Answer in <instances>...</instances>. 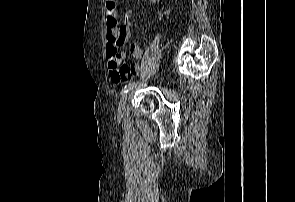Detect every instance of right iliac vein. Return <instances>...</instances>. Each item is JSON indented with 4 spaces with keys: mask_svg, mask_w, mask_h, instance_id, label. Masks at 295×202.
Wrapping results in <instances>:
<instances>
[{
    "mask_svg": "<svg viewBox=\"0 0 295 202\" xmlns=\"http://www.w3.org/2000/svg\"><path fill=\"white\" fill-rule=\"evenodd\" d=\"M128 93H125L122 97H121V99H120V101H119V105H118V112L119 113H121L122 111H123V108H124V105H125V102H126V100H127V98H128Z\"/></svg>",
    "mask_w": 295,
    "mask_h": 202,
    "instance_id": "1",
    "label": "right iliac vein"
}]
</instances>
